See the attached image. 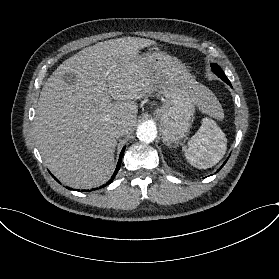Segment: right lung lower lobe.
Wrapping results in <instances>:
<instances>
[{
	"label": "right lung lower lobe",
	"mask_w": 279,
	"mask_h": 279,
	"mask_svg": "<svg viewBox=\"0 0 279 279\" xmlns=\"http://www.w3.org/2000/svg\"><path fill=\"white\" fill-rule=\"evenodd\" d=\"M124 150H125V147L122 149V151H121V154H120V157H119V160H118V164H117V167H116V169H115V172H114V174L112 175V177H111V179L106 183V185H108V184H110L112 181H113V179L115 178V176H116V174H117V172H118V170L120 169V166H121V161H122V156H123V154H124ZM53 176V175H52ZM54 177V176H53ZM55 178V177H54ZM56 179V178H55ZM57 180V179H56ZM58 181V180H57ZM106 185H103V186H101L100 188H103V187H105ZM68 189H71V188H69L68 187ZM98 188H95V189H92V190H97ZM79 191V190H78Z\"/></svg>",
	"instance_id": "obj_1"
}]
</instances>
